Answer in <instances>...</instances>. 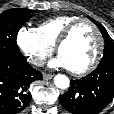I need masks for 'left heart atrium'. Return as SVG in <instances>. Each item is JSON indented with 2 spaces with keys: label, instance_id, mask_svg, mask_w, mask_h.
Here are the masks:
<instances>
[{
  "label": "left heart atrium",
  "instance_id": "left-heart-atrium-1",
  "mask_svg": "<svg viewBox=\"0 0 114 114\" xmlns=\"http://www.w3.org/2000/svg\"><path fill=\"white\" fill-rule=\"evenodd\" d=\"M49 65L51 67H64L69 69L67 62L60 55L57 58L53 59Z\"/></svg>",
  "mask_w": 114,
  "mask_h": 114
}]
</instances>
